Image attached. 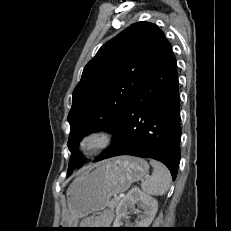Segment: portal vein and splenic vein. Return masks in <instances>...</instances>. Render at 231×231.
<instances>
[{"label": "portal vein and splenic vein", "mask_w": 231, "mask_h": 231, "mask_svg": "<svg viewBox=\"0 0 231 231\" xmlns=\"http://www.w3.org/2000/svg\"><path fill=\"white\" fill-rule=\"evenodd\" d=\"M124 196V194H118V195H115V198L116 199H120L121 197H123Z\"/></svg>", "instance_id": "1"}]
</instances>
